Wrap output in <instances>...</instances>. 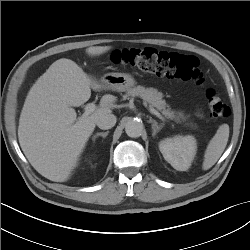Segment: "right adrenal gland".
<instances>
[{
    "mask_svg": "<svg viewBox=\"0 0 250 250\" xmlns=\"http://www.w3.org/2000/svg\"><path fill=\"white\" fill-rule=\"evenodd\" d=\"M109 131H106V132H100V133H97L93 139L95 140L97 137L101 136L103 138H106V136L108 135Z\"/></svg>",
    "mask_w": 250,
    "mask_h": 250,
    "instance_id": "1",
    "label": "right adrenal gland"
}]
</instances>
